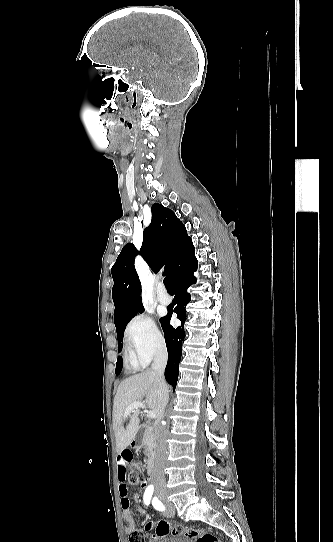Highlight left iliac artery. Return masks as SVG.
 Returning <instances> with one entry per match:
<instances>
[{
    "mask_svg": "<svg viewBox=\"0 0 333 542\" xmlns=\"http://www.w3.org/2000/svg\"><path fill=\"white\" fill-rule=\"evenodd\" d=\"M153 506L156 510L163 511L165 509L164 505L156 498L153 499Z\"/></svg>",
    "mask_w": 333,
    "mask_h": 542,
    "instance_id": "obj_1",
    "label": "left iliac artery"
}]
</instances>
